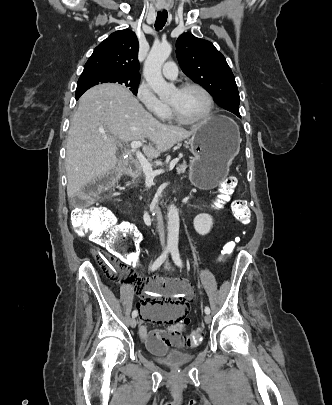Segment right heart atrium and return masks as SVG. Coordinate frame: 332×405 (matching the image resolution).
<instances>
[{"instance_id": "1", "label": "right heart atrium", "mask_w": 332, "mask_h": 405, "mask_svg": "<svg viewBox=\"0 0 332 405\" xmlns=\"http://www.w3.org/2000/svg\"><path fill=\"white\" fill-rule=\"evenodd\" d=\"M136 96L151 115L164 118L168 113V106L157 98L147 84L142 83L139 85Z\"/></svg>"}]
</instances>
